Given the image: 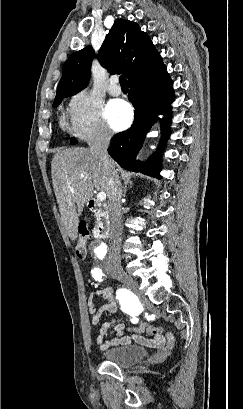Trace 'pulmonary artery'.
<instances>
[{
    "label": "pulmonary artery",
    "mask_w": 243,
    "mask_h": 409,
    "mask_svg": "<svg viewBox=\"0 0 243 409\" xmlns=\"http://www.w3.org/2000/svg\"><path fill=\"white\" fill-rule=\"evenodd\" d=\"M108 92L112 96H119L121 94V88L118 85V79L117 77H112L110 79V84L108 86Z\"/></svg>",
    "instance_id": "pulmonary-artery-1"
}]
</instances>
